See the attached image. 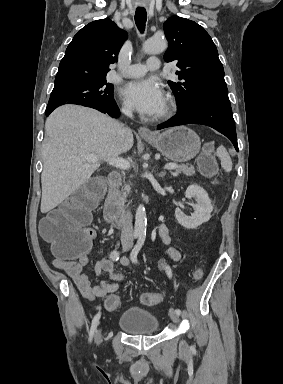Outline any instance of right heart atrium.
<instances>
[{"label": "right heart atrium", "instance_id": "right-heart-atrium-1", "mask_svg": "<svg viewBox=\"0 0 283 384\" xmlns=\"http://www.w3.org/2000/svg\"><path fill=\"white\" fill-rule=\"evenodd\" d=\"M121 110H122V112H124L126 114H128L130 112V108H129V106L126 103L122 104Z\"/></svg>", "mask_w": 283, "mask_h": 384}]
</instances>
